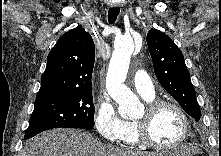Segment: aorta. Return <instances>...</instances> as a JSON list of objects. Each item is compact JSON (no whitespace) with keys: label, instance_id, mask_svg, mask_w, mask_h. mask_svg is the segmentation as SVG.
Returning a JSON list of instances; mask_svg holds the SVG:
<instances>
[{"label":"aorta","instance_id":"762f6f07","mask_svg":"<svg viewBox=\"0 0 221 156\" xmlns=\"http://www.w3.org/2000/svg\"><path fill=\"white\" fill-rule=\"evenodd\" d=\"M133 51L134 40L130 35L117 39L106 77V89L119 105V114L124 118L137 117L143 111L138 97L124 84Z\"/></svg>","mask_w":221,"mask_h":156}]
</instances>
